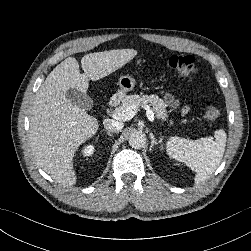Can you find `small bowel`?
<instances>
[{"instance_id": "c3829d8e", "label": "small bowel", "mask_w": 251, "mask_h": 251, "mask_svg": "<svg viewBox=\"0 0 251 251\" xmlns=\"http://www.w3.org/2000/svg\"><path fill=\"white\" fill-rule=\"evenodd\" d=\"M162 96L164 101L167 103L168 106L172 108H176L178 106V102L175 99L174 95L168 92H162ZM188 111V107H185L183 109V113H186Z\"/></svg>"}]
</instances>
